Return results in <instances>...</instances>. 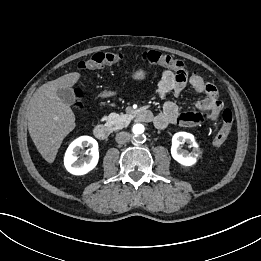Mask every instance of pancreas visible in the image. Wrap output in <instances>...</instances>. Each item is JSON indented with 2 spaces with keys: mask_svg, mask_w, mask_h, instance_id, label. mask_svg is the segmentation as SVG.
I'll list each match as a JSON object with an SVG mask.
<instances>
[{
  "mask_svg": "<svg viewBox=\"0 0 261 261\" xmlns=\"http://www.w3.org/2000/svg\"><path fill=\"white\" fill-rule=\"evenodd\" d=\"M131 121L128 114L110 113L106 117V123L112 130H119L126 127Z\"/></svg>",
  "mask_w": 261,
  "mask_h": 261,
  "instance_id": "cf45deb5",
  "label": "pancreas"
}]
</instances>
